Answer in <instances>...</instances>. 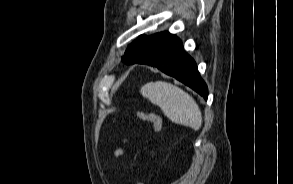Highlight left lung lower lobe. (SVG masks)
<instances>
[{"label": "left lung lower lobe", "mask_w": 293, "mask_h": 184, "mask_svg": "<svg viewBox=\"0 0 293 184\" xmlns=\"http://www.w3.org/2000/svg\"><path fill=\"white\" fill-rule=\"evenodd\" d=\"M149 58L139 64L154 66L185 85L207 100L208 89L200 77L195 61L184 51L180 39L168 32H161L146 44Z\"/></svg>", "instance_id": "0a47b994"}]
</instances>
